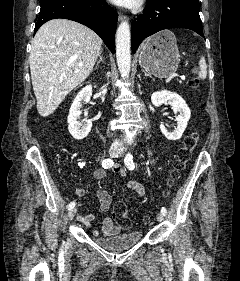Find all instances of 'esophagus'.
<instances>
[{"mask_svg":"<svg viewBox=\"0 0 240 281\" xmlns=\"http://www.w3.org/2000/svg\"><path fill=\"white\" fill-rule=\"evenodd\" d=\"M118 19H119L120 21H122V20L125 19V16H124L123 14L119 13Z\"/></svg>","mask_w":240,"mask_h":281,"instance_id":"esophagus-1","label":"esophagus"}]
</instances>
